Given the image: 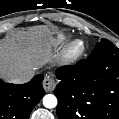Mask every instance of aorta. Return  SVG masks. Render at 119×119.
<instances>
[{
  "label": "aorta",
  "mask_w": 119,
  "mask_h": 119,
  "mask_svg": "<svg viewBox=\"0 0 119 119\" xmlns=\"http://www.w3.org/2000/svg\"><path fill=\"white\" fill-rule=\"evenodd\" d=\"M43 105L46 108H54L57 106V98L53 94H47L43 97Z\"/></svg>",
  "instance_id": "1"
}]
</instances>
